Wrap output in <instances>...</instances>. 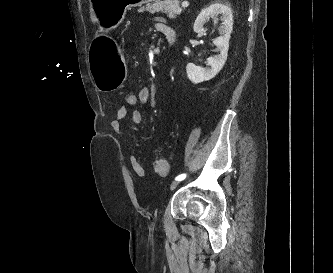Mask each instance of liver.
Masks as SVG:
<instances>
[{"label": "liver", "mask_w": 333, "mask_h": 273, "mask_svg": "<svg viewBox=\"0 0 333 273\" xmlns=\"http://www.w3.org/2000/svg\"><path fill=\"white\" fill-rule=\"evenodd\" d=\"M89 2H90V18H91V21L93 23H95L97 21V17H96V14H95V11H94L91 0H89Z\"/></svg>", "instance_id": "1"}]
</instances>
